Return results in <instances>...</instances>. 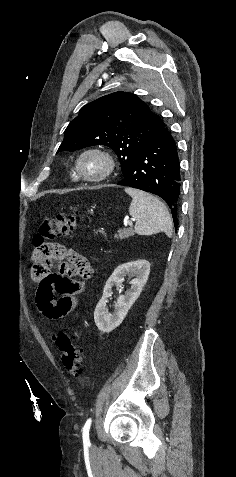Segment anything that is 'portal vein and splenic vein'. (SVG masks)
I'll return each instance as SVG.
<instances>
[{"label": "portal vein and splenic vein", "mask_w": 236, "mask_h": 477, "mask_svg": "<svg viewBox=\"0 0 236 477\" xmlns=\"http://www.w3.org/2000/svg\"><path fill=\"white\" fill-rule=\"evenodd\" d=\"M124 225H125V226H128V225H129V226H132V225H133V222H132V220H126V221L124 222Z\"/></svg>", "instance_id": "18ae733b"}]
</instances>
